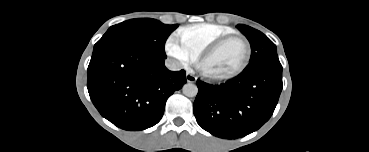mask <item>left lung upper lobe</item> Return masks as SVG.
Masks as SVG:
<instances>
[{
	"mask_svg": "<svg viewBox=\"0 0 369 152\" xmlns=\"http://www.w3.org/2000/svg\"><path fill=\"white\" fill-rule=\"evenodd\" d=\"M237 28L247 37L251 45V58L243 70L244 73L267 67L282 68L276 46L267 36L247 25L239 24Z\"/></svg>",
	"mask_w": 369,
	"mask_h": 152,
	"instance_id": "obj_1",
	"label": "left lung upper lobe"
}]
</instances>
